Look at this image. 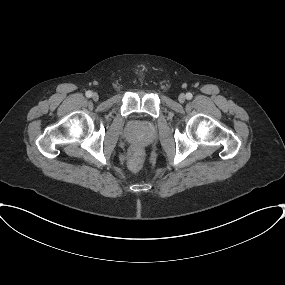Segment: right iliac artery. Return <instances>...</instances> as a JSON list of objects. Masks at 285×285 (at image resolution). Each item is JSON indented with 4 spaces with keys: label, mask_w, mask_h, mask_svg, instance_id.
Wrapping results in <instances>:
<instances>
[{
    "label": "right iliac artery",
    "mask_w": 285,
    "mask_h": 285,
    "mask_svg": "<svg viewBox=\"0 0 285 285\" xmlns=\"http://www.w3.org/2000/svg\"><path fill=\"white\" fill-rule=\"evenodd\" d=\"M86 96L89 98V97H91L92 96V92L91 91H87L86 92Z\"/></svg>",
    "instance_id": "obj_1"
}]
</instances>
